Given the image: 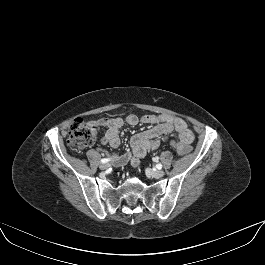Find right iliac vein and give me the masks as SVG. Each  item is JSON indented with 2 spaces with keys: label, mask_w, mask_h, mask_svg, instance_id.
<instances>
[{
  "label": "right iliac vein",
  "mask_w": 265,
  "mask_h": 265,
  "mask_svg": "<svg viewBox=\"0 0 265 265\" xmlns=\"http://www.w3.org/2000/svg\"><path fill=\"white\" fill-rule=\"evenodd\" d=\"M108 167H109V165H108L107 163H103V164L100 165V169H101V170H105V169H107Z\"/></svg>",
  "instance_id": "obj_1"
}]
</instances>
